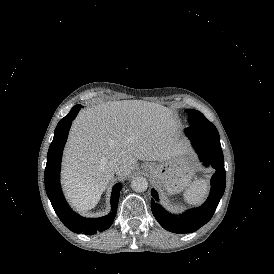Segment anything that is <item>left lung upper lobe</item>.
Returning <instances> with one entry per match:
<instances>
[{
    "label": "left lung upper lobe",
    "mask_w": 274,
    "mask_h": 274,
    "mask_svg": "<svg viewBox=\"0 0 274 274\" xmlns=\"http://www.w3.org/2000/svg\"><path fill=\"white\" fill-rule=\"evenodd\" d=\"M188 114L189 124L201 127V128H216L205 116L196 110H185Z\"/></svg>",
    "instance_id": "5c2ea615"
}]
</instances>
